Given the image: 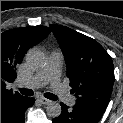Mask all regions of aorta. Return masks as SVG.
Wrapping results in <instances>:
<instances>
[{"label":"aorta","instance_id":"1","mask_svg":"<svg viewBox=\"0 0 123 123\" xmlns=\"http://www.w3.org/2000/svg\"><path fill=\"white\" fill-rule=\"evenodd\" d=\"M26 63L33 69L42 68L46 63L45 53L39 49H31L25 57ZM61 105L56 101H51L46 107V113L52 118H57L61 114Z\"/></svg>","mask_w":123,"mask_h":123}]
</instances>
